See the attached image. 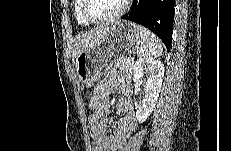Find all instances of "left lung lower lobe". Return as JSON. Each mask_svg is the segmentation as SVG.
Masks as SVG:
<instances>
[{
	"mask_svg": "<svg viewBox=\"0 0 231 151\" xmlns=\"http://www.w3.org/2000/svg\"><path fill=\"white\" fill-rule=\"evenodd\" d=\"M175 0H133L131 10L122 19L136 22L154 32L170 51Z\"/></svg>",
	"mask_w": 231,
	"mask_h": 151,
	"instance_id": "1",
	"label": "left lung lower lobe"
}]
</instances>
